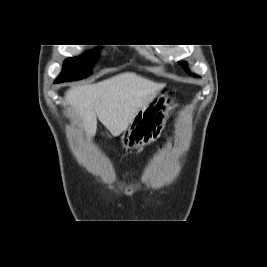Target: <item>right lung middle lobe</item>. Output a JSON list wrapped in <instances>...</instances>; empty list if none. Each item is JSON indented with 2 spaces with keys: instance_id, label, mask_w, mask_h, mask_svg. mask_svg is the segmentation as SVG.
I'll return each mask as SVG.
<instances>
[{
  "instance_id": "right-lung-middle-lobe-1",
  "label": "right lung middle lobe",
  "mask_w": 267,
  "mask_h": 267,
  "mask_svg": "<svg viewBox=\"0 0 267 267\" xmlns=\"http://www.w3.org/2000/svg\"><path fill=\"white\" fill-rule=\"evenodd\" d=\"M98 53L89 51L77 58H69L65 61L63 71L55 83L83 79L91 74V64Z\"/></svg>"
}]
</instances>
